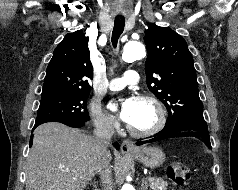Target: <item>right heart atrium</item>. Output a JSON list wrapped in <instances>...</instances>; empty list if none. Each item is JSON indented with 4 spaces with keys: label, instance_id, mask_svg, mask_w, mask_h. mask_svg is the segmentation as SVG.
Masks as SVG:
<instances>
[{
    "label": "right heart atrium",
    "instance_id": "obj_1",
    "mask_svg": "<svg viewBox=\"0 0 238 190\" xmlns=\"http://www.w3.org/2000/svg\"><path fill=\"white\" fill-rule=\"evenodd\" d=\"M89 115L92 123L100 130L112 131L116 128L115 118L104 112L98 104H91Z\"/></svg>",
    "mask_w": 238,
    "mask_h": 190
}]
</instances>
